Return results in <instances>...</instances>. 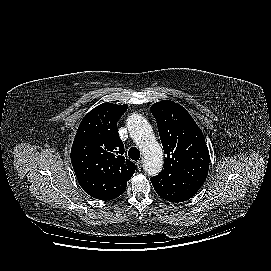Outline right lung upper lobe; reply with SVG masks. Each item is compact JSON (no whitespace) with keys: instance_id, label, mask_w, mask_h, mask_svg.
<instances>
[{"instance_id":"cb5924a9","label":"right lung upper lobe","mask_w":271,"mask_h":271,"mask_svg":"<svg viewBox=\"0 0 271 271\" xmlns=\"http://www.w3.org/2000/svg\"><path fill=\"white\" fill-rule=\"evenodd\" d=\"M127 104L103 103L81 121L71 148V162L77 178L112 180L127 185L135 164L125 159L117 122Z\"/></svg>"}]
</instances>
